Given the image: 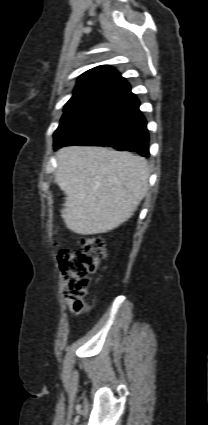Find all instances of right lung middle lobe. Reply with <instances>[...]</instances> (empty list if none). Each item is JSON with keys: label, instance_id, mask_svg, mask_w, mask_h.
<instances>
[{"label": "right lung middle lobe", "instance_id": "obj_1", "mask_svg": "<svg viewBox=\"0 0 208 425\" xmlns=\"http://www.w3.org/2000/svg\"><path fill=\"white\" fill-rule=\"evenodd\" d=\"M99 93L96 92H85L74 94L71 99L64 106V114L62 116L60 125L64 124L68 118L81 106L86 104L88 101L96 98ZM54 139V144H55Z\"/></svg>", "mask_w": 208, "mask_h": 425}]
</instances>
